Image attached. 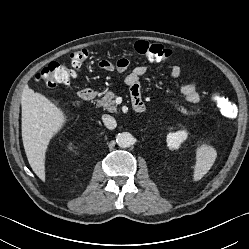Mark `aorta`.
Instances as JSON below:
<instances>
[{
	"mask_svg": "<svg viewBox=\"0 0 249 249\" xmlns=\"http://www.w3.org/2000/svg\"><path fill=\"white\" fill-rule=\"evenodd\" d=\"M117 144L121 148H128L133 144L134 138L129 132H122L117 136Z\"/></svg>",
	"mask_w": 249,
	"mask_h": 249,
	"instance_id": "1",
	"label": "aorta"
}]
</instances>
